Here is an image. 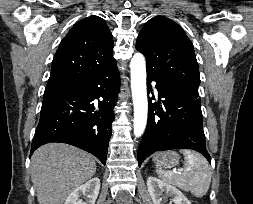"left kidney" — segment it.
<instances>
[{
    "mask_svg": "<svg viewBox=\"0 0 253 204\" xmlns=\"http://www.w3.org/2000/svg\"><path fill=\"white\" fill-rule=\"evenodd\" d=\"M147 187L153 204H163L166 196L171 197L169 204H191L181 191L156 177H148Z\"/></svg>",
    "mask_w": 253,
    "mask_h": 204,
    "instance_id": "left-kidney-1",
    "label": "left kidney"
}]
</instances>
